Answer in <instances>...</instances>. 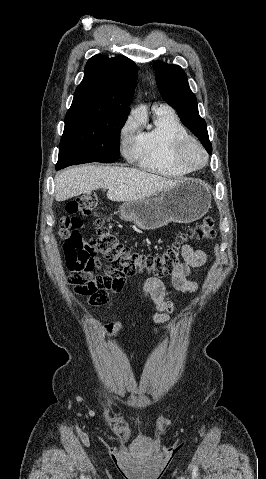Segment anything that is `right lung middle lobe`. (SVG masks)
<instances>
[{
    "mask_svg": "<svg viewBox=\"0 0 266 479\" xmlns=\"http://www.w3.org/2000/svg\"><path fill=\"white\" fill-rule=\"evenodd\" d=\"M126 117L65 116L56 167L102 162L119 158V135Z\"/></svg>",
    "mask_w": 266,
    "mask_h": 479,
    "instance_id": "obj_1",
    "label": "right lung middle lobe"
}]
</instances>
